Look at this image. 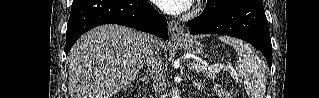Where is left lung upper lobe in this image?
<instances>
[{
    "label": "left lung upper lobe",
    "instance_id": "obj_1",
    "mask_svg": "<svg viewBox=\"0 0 319 98\" xmlns=\"http://www.w3.org/2000/svg\"><path fill=\"white\" fill-rule=\"evenodd\" d=\"M230 0H207V3H209V5L211 7H213V3H225V2H228Z\"/></svg>",
    "mask_w": 319,
    "mask_h": 98
}]
</instances>
